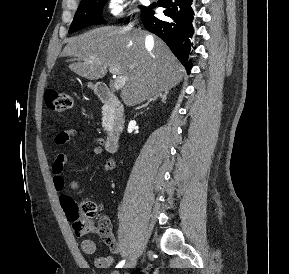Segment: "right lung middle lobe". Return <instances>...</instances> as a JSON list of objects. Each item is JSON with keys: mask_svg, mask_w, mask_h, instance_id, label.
<instances>
[{"mask_svg": "<svg viewBox=\"0 0 289 274\" xmlns=\"http://www.w3.org/2000/svg\"><path fill=\"white\" fill-rule=\"evenodd\" d=\"M105 2L106 0H81L69 33L76 32L90 25L106 23L101 16Z\"/></svg>", "mask_w": 289, "mask_h": 274, "instance_id": "dd1d6c3e", "label": "right lung middle lobe"}]
</instances>
